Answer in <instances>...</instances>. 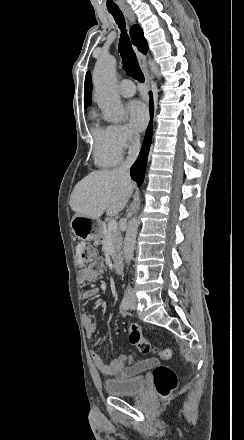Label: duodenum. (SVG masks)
<instances>
[{
	"mask_svg": "<svg viewBox=\"0 0 244 440\" xmlns=\"http://www.w3.org/2000/svg\"><path fill=\"white\" fill-rule=\"evenodd\" d=\"M113 262H114L115 271L119 274L122 273L124 270L123 257L121 255H116L113 259Z\"/></svg>",
	"mask_w": 244,
	"mask_h": 440,
	"instance_id": "1",
	"label": "duodenum"
}]
</instances>
